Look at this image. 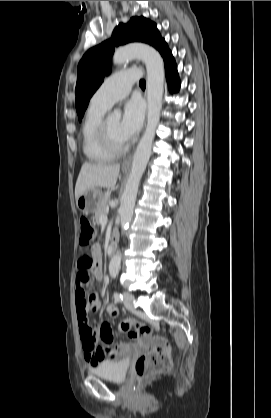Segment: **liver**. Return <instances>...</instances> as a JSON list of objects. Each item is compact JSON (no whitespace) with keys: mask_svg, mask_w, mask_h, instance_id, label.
<instances>
[{"mask_svg":"<svg viewBox=\"0 0 271 418\" xmlns=\"http://www.w3.org/2000/svg\"><path fill=\"white\" fill-rule=\"evenodd\" d=\"M119 164L83 163L75 186V199L93 188H112L117 182Z\"/></svg>","mask_w":271,"mask_h":418,"instance_id":"obj_1","label":"liver"}]
</instances>
